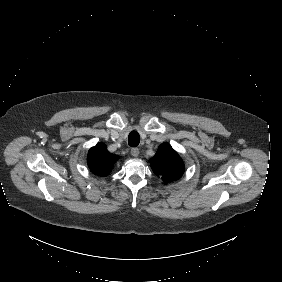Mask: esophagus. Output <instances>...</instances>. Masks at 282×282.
Instances as JSON below:
<instances>
[{
    "label": "esophagus",
    "instance_id": "34e87169",
    "mask_svg": "<svg viewBox=\"0 0 282 282\" xmlns=\"http://www.w3.org/2000/svg\"><path fill=\"white\" fill-rule=\"evenodd\" d=\"M130 153L133 157H138L139 156V149L138 148H132Z\"/></svg>",
    "mask_w": 282,
    "mask_h": 282
}]
</instances>
